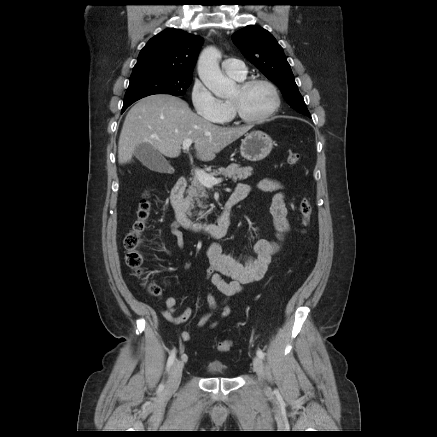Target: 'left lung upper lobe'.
Returning a JSON list of instances; mask_svg holds the SVG:
<instances>
[{
    "instance_id": "left-lung-upper-lobe-1",
    "label": "left lung upper lobe",
    "mask_w": 437,
    "mask_h": 437,
    "mask_svg": "<svg viewBox=\"0 0 437 437\" xmlns=\"http://www.w3.org/2000/svg\"><path fill=\"white\" fill-rule=\"evenodd\" d=\"M232 40L252 64L276 83L293 109L311 117L282 47L267 30L255 25L248 26L234 33Z\"/></svg>"
}]
</instances>
